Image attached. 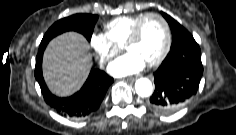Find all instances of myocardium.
I'll return each instance as SVG.
<instances>
[{
	"label": "myocardium",
	"mask_w": 236,
	"mask_h": 135,
	"mask_svg": "<svg viewBox=\"0 0 236 135\" xmlns=\"http://www.w3.org/2000/svg\"><path fill=\"white\" fill-rule=\"evenodd\" d=\"M149 17H156V18H158L162 22V24L164 26V30H165V43H164V47H163L161 53L159 54V56L155 60L146 63V65L148 67H156L165 59V57L167 56V54H168V52L170 50V46H171V31H170V27H169V24H168L167 20L161 14L154 13V12L144 14L136 22V24L133 26V28H132L128 38L126 39L125 43L123 44V49L127 50V48L129 46H131L132 44H134L137 41V39L139 37V34H140V30H141V26H142L143 22L147 18H149Z\"/></svg>",
	"instance_id": "myocardium-1"
}]
</instances>
